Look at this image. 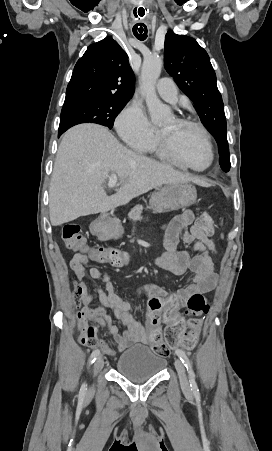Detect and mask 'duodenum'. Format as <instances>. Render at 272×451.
I'll use <instances>...</instances> for the list:
<instances>
[{
  "label": "duodenum",
  "mask_w": 272,
  "mask_h": 451,
  "mask_svg": "<svg viewBox=\"0 0 272 451\" xmlns=\"http://www.w3.org/2000/svg\"><path fill=\"white\" fill-rule=\"evenodd\" d=\"M92 233L100 239H107L109 237V231L104 219H97L92 224Z\"/></svg>",
  "instance_id": "obj_1"
}]
</instances>
